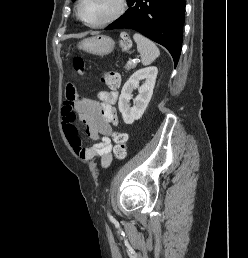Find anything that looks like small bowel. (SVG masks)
Listing matches in <instances>:
<instances>
[{
	"mask_svg": "<svg viewBox=\"0 0 248 258\" xmlns=\"http://www.w3.org/2000/svg\"><path fill=\"white\" fill-rule=\"evenodd\" d=\"M116 90L100 91L97 98L80 97L74 87L68 86L63 105V130L74 154L83 161L99 158L103 167H108L112 159V126L117 123L115 103ZM76 120L85 125L86 134L93 143L89 147L82 144Z\"/></svg>",
	"mask_w": 248,
	"mask_h": 258,
	"instance_id": "c3829d8e",
	"label": "small bowel"
}]
</instances>
